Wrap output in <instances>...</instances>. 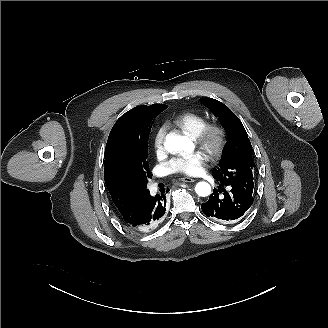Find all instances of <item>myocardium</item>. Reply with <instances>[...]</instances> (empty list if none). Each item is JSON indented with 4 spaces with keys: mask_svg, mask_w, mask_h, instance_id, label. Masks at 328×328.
Listing matches in <instances>:
<instances>
[{
    "mask_svg": "<svg viewBox=\"0 0 328 328\" xmlns=\"http://www.w3.org/2000/svg\"><path fill=\"white\" fill-rule=\"evenodd\" d=\"M228 130L219 121L206 122L197 136L192 138L193 145L207 152L212 158L218 159L224 153L228 142Z\"/></svg>",
    "mask_w": 328,
    "mask_h": 328,
    "instance_id": "f54148a6",
    "label": "myocardium"
}]
</instances>
